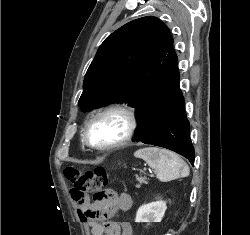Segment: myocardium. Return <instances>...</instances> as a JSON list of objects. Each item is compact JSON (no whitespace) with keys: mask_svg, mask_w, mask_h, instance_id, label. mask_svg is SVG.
Here are the masks:
<instances>
[{"mask_svg":"<svg viewBox=\"0 0 250 235\" xmlns=\"http://www.w3.org/2000/svg\"><path fill=\"white\" fill-rule=\"evenodd\" d=\"M108 114H120L125 120V130L123 135L115 142L106 145H96L90 140L89 130L92 124L100 117ZM138 127V117L135 109L125 103H111L95 111L87 120L83 130L84 143L91 149L106 152L118 149L128 144L134 137Z\"/></svg>","mask_w":250,"mask_h":235,"instance_id":"obj_1","label":"myocardium"}]
</instances>
